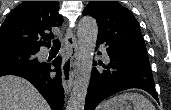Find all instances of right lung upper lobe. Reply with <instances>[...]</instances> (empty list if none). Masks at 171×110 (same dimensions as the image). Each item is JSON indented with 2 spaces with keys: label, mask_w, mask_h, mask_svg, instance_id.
<instances>
[{
  "label": "right lung upper lobe",
  "mask_w": 171,
  "mask_h": 110,
  "mask_svg": "<svg viewBox=\"0 0 171 110\" xmlns=\"http://www.w3.org/2000/svg\"><path fill=\"white\" fill-rule=\"evenodd\" d=\"M58 9V1H23L9 13L1 26L0 48L17 47L39 51L41 46L50 47L47 40L54 35L47 32L63 22Z\"/></svg>",
  "instance_id": "right-lung-upper-lobe-1"
}]
</instances>
